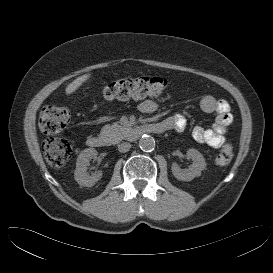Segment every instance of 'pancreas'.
Listing matches in <instances>:
<instances>
[{
    "label": "pancreas",
    "mask_w": 273,
    "mask_h": 273,
    "mask_svg": "<svg viewBox=\"0 0 273 273\" xmlns=\"http://www.w3.org/2000/svg\"><path fill=\"white\" fill-rule=\"evenodd\" d=\"M130 132V128L114 123L112 125H105L100 134L107 138L110 143H117L124 139Z\"/></svg>",
    "instance_id": "pancreas-1"
}]
</instances>
